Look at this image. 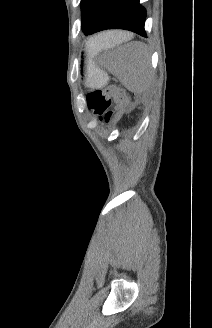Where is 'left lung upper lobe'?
<instances>
[{"label":"left lung upper lobe","instance_id":"left-lung-upper-lobe-1","mask_svg":"<svg viewBox=\"0 0 212 328\" xmlns=\"http://www.w3.org/2000/svg\"><path fill=\"white\" fill-rule=\"evenodd\" d=\"M105 1L106 0H81V28L85 34L92 29Z\"/></svg>","mask_w":212,"mask_h":328}]
</instances>
